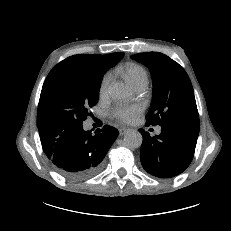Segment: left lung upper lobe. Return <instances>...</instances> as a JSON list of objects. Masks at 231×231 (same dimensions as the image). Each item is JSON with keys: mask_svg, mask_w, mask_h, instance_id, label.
Instances as JSON below:
<instances>
[{"mask_svg": "<svg viewBox=\"0 0 231 231\" xmlns=\"http://www.w3.org/2000/svg\"><path fill=\"white\" fill-rule=\"evenodd\" d=\"M131 58L149 67L152 74L154 94L147 124L199 127L193 87L183 67L159 52L139 53Z\"/></svg>", "mask_w": 231, "mask_h": 231, "instance_id": "obj_1", "label": "left lung upper lobe"}]
</instances>
